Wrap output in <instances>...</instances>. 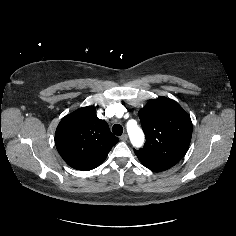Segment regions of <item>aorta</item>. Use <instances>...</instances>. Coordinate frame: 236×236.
Segmentation results:
<instances>
[{"label":"aorta","instance_id":"obj_1","mask_svg":"<svg viewBox=\"0 0 236 236\" xmlns=\"http://www.w3.org/2000/svg\"><path fill=\"white\" fill-rule=\"evenodd\" d=\"M127 132L134 147H141L143 145L145 140L144 133L136 121L130 120L127 123Z\"/></svg>","mask_w":236,"mask_h":236}]
</instances>
